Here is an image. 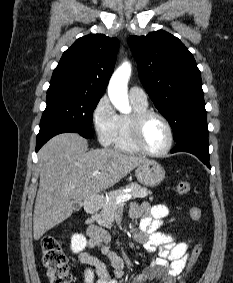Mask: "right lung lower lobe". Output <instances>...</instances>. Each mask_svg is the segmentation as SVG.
Segmentation results:
<instances>
[{
    "label": "right lung lower lobe",
    "mask_w": 233,
    "mask_h": 283,
    "mask_svg": "<svg viewBox=\"0 0 233 283\" xmlns=\"http://www.w3.org/2000/svg\"><path fill=\"white\" fill-rule=\"evenodd\" d=\"M64 132H74L69 129H51L43 134H38L37 135V143H36V152L53 136L64 133ZM84 137V136H83ZM86 138V137H85Z\"/></svg>",
    "instance_id": "98d812e1"
}]
</instances>
